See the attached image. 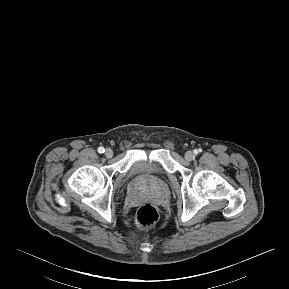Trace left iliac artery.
Wrapping results in <instances>:
<instances>
[{
	"label": "left iliac artery",
	"instance_id": "44dca946",
	"mask_svg": "<svg viewBox=\"0 0 289 289\" xmlns=\"http://www.w3.org/2000/svg\"><path fill=\"white\" fill-rule=\"evenodd\" d=\"M200 152V150H194V154H198Z\"/></svg>",
	"mask_w": 289,
	"mask_h": 289
}]
</instances>
